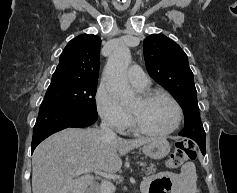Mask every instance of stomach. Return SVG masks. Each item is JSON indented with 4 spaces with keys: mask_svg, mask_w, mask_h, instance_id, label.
Returning <instances> with one entry per match:
<instances>
[{
    "mask_svg": "<svg viewBox=\"0 0 237 193\" xmlns=\"http://www.w3.org/2000/svg\"><path fill=\"white\" fill-rule=\"evenodd\" d=\"M141 151L149 158L159 160L170 152V144L165 138H153L141 147Z\"/></svg>",
    "mask_w": 237,
    "mask_h": 193,
    "instance_id": "0dacf381",
    "label": "stomach"
}]
</instances>
